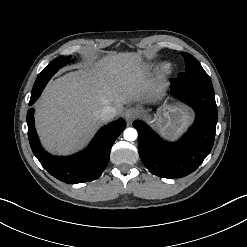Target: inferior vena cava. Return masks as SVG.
I'll return each instance as SVG.
<instances>
[{"mask_svg": "<svg viewBox=\"0 0 247 247\" xmlns=\"http://www.w3.org/2000/svg\"><path fill=\"white\" fill-rule=\"evenodd\" d=\"M116 109L112 106H105L101 109L99 113V118L101 121H109L113 119L116 115Z\"/></svg>", "mask_w": 247, "mask_h": 247, "instance_id": "obj_1", "label": "inferior vena cava"}]
</instances>
